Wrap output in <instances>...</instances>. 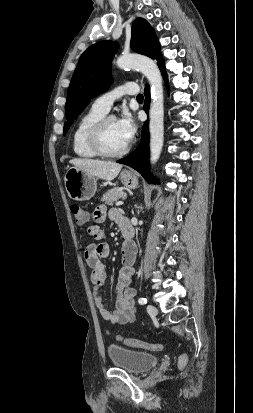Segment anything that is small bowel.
<instances>
[{"label": "small bowel", "mask_w": 253, "mask_h": 413, "mask_svg": "<svg viewBox=\"0 0 253 413\" xmlns=\"http://www.w3.org/2000/svg\"><path fill=\"white\" fill-rule=\"evenodd\" d=\"M107 216L115 220L120 227L123 221L126 220L115 210L108 212L105 205L97 206L93 212L94 223L88 227V233L97 242L89 244L86 247L84 257L91 268L93 297L101 316L105 321L112 324H127L133 322L137 314L134 300L136 291L131 287L135 272L136 247L133 243H124L122 246V267L119 271L115 287L116 309L110 311L105 305L100 293V288L106 281V270L102 259L108 257L110 248L109 245L103 241L104 233L99 227V224L102 223Z\"/></svg>", "instance_id": "1"}]
</instances>
